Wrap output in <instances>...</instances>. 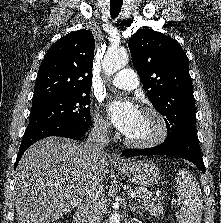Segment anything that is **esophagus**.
<instances>
[{"mask_svg": "<svg viewBox=\"0 0 221 223\" xmlns=\"http://www.w3.org/2000/svg\"><path fill=\"white\" fill-rule=\"evenodd\" d=\"M111 162L114 164H124L125 160L118 152H113L111 155Z\"/></svg>", "mask_w": 221, "mask_h": 223, "instance_id": "esophagus-1", "label": "esophagus"}]
</instances>
